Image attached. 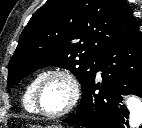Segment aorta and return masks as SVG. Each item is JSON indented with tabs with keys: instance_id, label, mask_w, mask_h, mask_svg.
<instances>
[{
	"instance_id": "aorta-1",
	"label": "aorta",
	"mask_w": 142,
	"mask_h": 128,
	"mask_svg": "<svg viewBox=\"0 0 142 128\" xmlns=\"http://www.w3.org/2000/svg\"><path fill=\"white\" fill-rule=\"evenodd\" d=\"M126 106L130 113L129 126L138 128L142 124V101L135 96H130L126 100Z\"/></svg>"
}]
</instances>
